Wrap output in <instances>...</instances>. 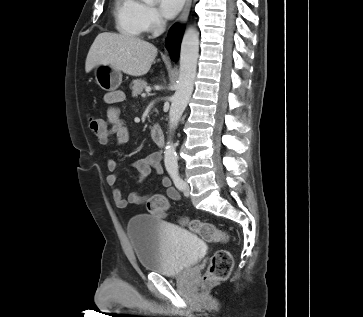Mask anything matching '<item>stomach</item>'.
Returning a JSON list of instances; mask_svg holds the SVG:
<instances>
[{
	"instance_id": "0dacf381",
	"label": "stomach",
	"mask_w": 363,
	"mask_h": 317,
	"mask_svg": "<svg viewBox=\"0 0 363 317\" xmlns=\"http://www.w3.org/2000/svg\"><path fill=\"white\" fill-rule=\"evenodd\" d=\"M97 84L105 91L116 90L122 82V73L110 65L100 64L94 70Z\"/></svg>"
}]
</instances>
